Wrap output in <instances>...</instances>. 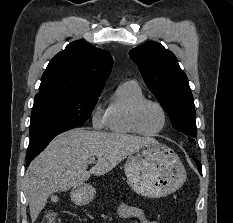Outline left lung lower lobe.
<instances>
[{"instance_id": "1", "label": "left lung lower lobe", "mask_w": 233, "mask_h": 223, "mask_svg": "<svg viewBox=\"0 0 233 223\" xmlns=\"http://www.w3.org/2000/svg\"><path fill=\"white\" fill-rule=\"evenodd\" d=\"M193 159L197 164V167H198V170H199L200 174L202 175V166H201L200 162L198 160H196L195 158H193Z\"/></svg>"}]
</instances>
